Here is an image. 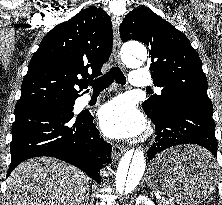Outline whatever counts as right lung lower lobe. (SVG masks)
<instances>
[{"instance_id":"right-lung-lower-lobe-1","label":"right lung lower lobe","mask_w":222,"mask_h":205,"mask_svg":"<svg viewBox=\"0 0 222 205\" xmlns=\"http://www.w3.org/2000/svg\"><path fill=\"white\" fill-rule=\"evenodd\" d=\"M72 110L48 103L15 108L7 176L24 160L50 156L75 165L101 182L99 172L111 159V145L100 137L90 114L75 118Z\"/></svg>"}]
</instances>
